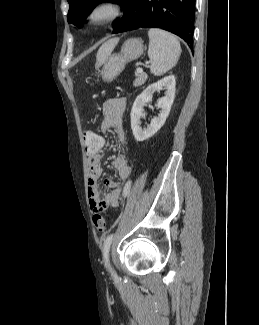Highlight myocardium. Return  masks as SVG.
<instances>
[{
    "label": "myocardium",
    "mask_w": 259,
    "mask_h": 325,
    "mask_svg": "<svg viewBox=\"0 0 259 325\" xmlns=\"http://www.w3.org/2000/svg\"><path fill=\"white\" fill-rule=\"evenodd\" d=\"M118 0H97L86 11L85 20L91 27H100L116 20L122 13Z\"/></svg>",
    "instance_id": "myocardium-1"
}]
</instances>
